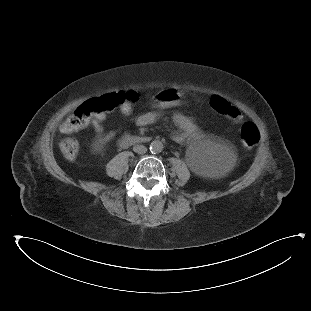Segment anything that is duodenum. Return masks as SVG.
I'll list each match as a JSON object with an SVG mask.
<instances>
[{
  "mask_svg": "<svg viewBox=\"0 0 311 311\" xmlns=\"http://www.w3.org/2000/svg\"><path fill=\"white\" fill-rule=\"evenodd\" d=\"M150 139L144 136L126 135L119 141L122 145H135L148 143Z\"/></svg>",
  "mask_w": 311,
  "mask_h": 311,
  "instance_id": "1",
  "label": "duodenum"
}]
</instances>
